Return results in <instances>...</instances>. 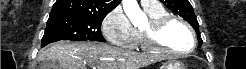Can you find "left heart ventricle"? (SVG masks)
Instances as JSON below:
<instances>
[{
  "instance_id": "left-heart-ventricle-1",
  "label": "left heart ventricle",
  "mask_w": 246,
  "mask_h": 69,
  "mask_svg": "<svg viewBox=\"0 0 246 69\" xmlns=\"http://www.w3.org/2000/svg\"><path fill=\"white\" fill-rule=\"evenodd\" d=\"M162 41L169 47L179 49L191 41L187 29L178 21H173L168 25L162 35Z\"/></svg>"
}]
</instances>
